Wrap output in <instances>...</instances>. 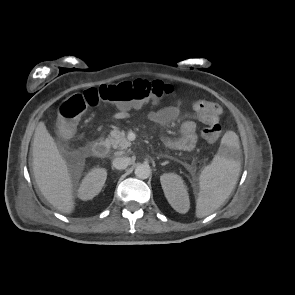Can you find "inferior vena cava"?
<instances>
[{
    "instance_id": "inferior-vena-cava-1",
    "label": "inferior vena cava",
    "mask_w": 295,
    "mask_h": 295,
    "mask_svg": "<svg viewBox=\"0 0 295 295\" xmlns=\"http://www.w3.org/2000/svg\"><path fill=\"white\" fill-rule=\"evenodd\" d=\"M129 163H130V158L128 157H116L112 162L113 167L118 170H123L127 168Z\"/></svg>"
}]
</instances>
